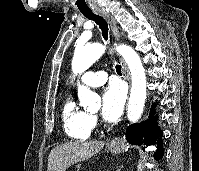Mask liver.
Masks as SVG:
<instances>
[{
	"mask_svg": "<svg viewBox=\"0 0 199 171\" xmlns=\"http://www.w3.org/2000/svg\"><path fill=\"white\" fill-rule=\"evenodd\" d=\"M104 145L103 141H75L61 144L51 150L47 171H65L72 164L97 154Z\"/></svg>",
	"mask_w": 199,
	"mask_h": 171,
	"instance_id": "obj_1",
	"label": "liver"
}]
</instances>
